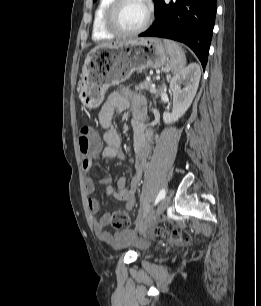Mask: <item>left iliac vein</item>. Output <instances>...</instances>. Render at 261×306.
Wrapping results in <instances>:
<instances>
[{
  "label": "left iliac vein",
  "mask_w": 261,
  "mask_h": 306,
  "mask_svg": "<svg viewBox=\"0 0 261 306\" xmlns=\"http://www.w3.org/2000/svg\"><path fill=\"white\" fill-rule=\"evenodd\" d=\"M170 204V196H166L163 200L159 203L156 210L152 214V216L145 222V224L140 228V231H143L149 227H151L159 217L166 211Z\"/></svg>",
  "instance_id": "obj_1"
}]
</instances>
